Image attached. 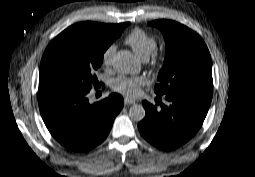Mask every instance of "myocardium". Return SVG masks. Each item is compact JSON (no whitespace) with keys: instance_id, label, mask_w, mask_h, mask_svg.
I'll return each instance as SVG.
<instances>
[{"instance_id":"myocardium-1","label":"myocardium","mask_w":255,"mask_h":177,"mask_svg":"<svg viewBox=\"0 0 255 177\" xmlns=\"http://www.w3.org/2000/svg\"><path fill=\"white\" fill-rule=\"evenodd\" d=\"M157 60H158V56L157 55H153V59H152L151 65L155 66V64L157 63Z\"/></svg>"}]
</instances>
